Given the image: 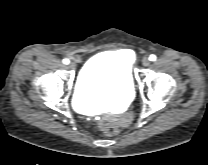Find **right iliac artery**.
Wrapping results in <instances>:
<instances>
[{
  "mask_svg": "<svg viewBox=\"0 0 208 165\" xmlns=\"http://www.w3.org/2000/svg\"><path fill=\"white\" fill-rule=\"evenodd\" d=\"M63 63L64 64H69V60L68 59H63Z\"/></svg>",
  "mask_w": 208,
  "mask_h": 165,
  "instance_id": "82829eb1",
  "label": "right iliac artery"
}]
</instances>
